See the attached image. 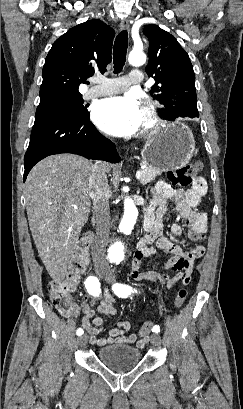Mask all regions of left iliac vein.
<instances>
[{
    "mask_svg": "<svg viewBox=\"0 0 243 409\" xmlns=\"http://www.w3.org/2000/svg\"><path fill=\"white\" fill-rule=\"evenodd\" d=\"M105 280L109 283V284H113L115 282V277L112 274H107L105 276ZM150 342L153 346H160L161 345V337L159 334L154 333L151 335L150 337Z\"/></svg>",
    "mask_w": 243,
    "mask_h": 409,
    "instance_id": "1",
    "label": "left iliac vein"
}]
</instances>
